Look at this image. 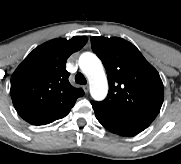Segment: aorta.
<instances>
[{
	"label": "aorta",
	"mask_w": 181,
	"mask_h": 164,
	"mask_svg": "<svg viewBox=\"0 0 181 164\" xmlns=\"http://www.w3.org/2000/svg\"><path fill=\"white\" fill-rule=\"evenodd\" d=\"M79 66L89 80L90 94L94 100H103L108 92L107 77L100 59L93 53H83Z\"/></svg>",
	"instance_id": "762f6f07"
}]
</instances>
